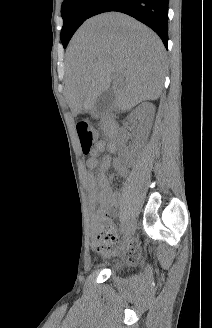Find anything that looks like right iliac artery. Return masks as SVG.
<instances>
[{
	"label": "right iliac artery",
	"instance_id": "obj_1",
	"mask_svg": "<svg viewBox=\"0 0 212 328\" xmlns=\"http://www.w3.org/2000/svg\"><path fill=\"white\" fill-rule=\"evenodd\" d=\"M126 229V223L125 222H122L121 224V232H124Z\"/></svg>",
	"mask_w": 212,
	"mask_h": 328
}]
</instances>
